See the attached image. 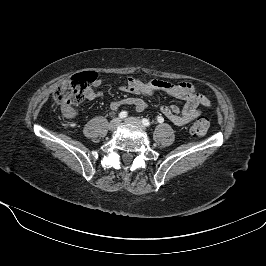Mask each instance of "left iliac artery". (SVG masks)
<instances>
[{
	"label": "left iliac artery",
	"instance_id": "1",
	"mask_svg": "<svg viewBox=\"0 0 266 266\" xmlns=\"http://www.w3.org/2000/svg\"><path fill=\"white\" fill-rule=\"evenodd\" d=\"M158 122L162 123L163 122V118L162 117H158ZM142 124L144 126H150V121L146 118L142 119Z\"/></svg>",
	"mask_w": 266,
	"mask_h": 266
}]
</instances>
